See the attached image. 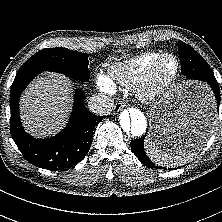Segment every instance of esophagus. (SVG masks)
Returning a JSON list of instances; mask_svg holds the SVG:
<instances>
[{
    "label": "esophagus",
    "mask_w": 222,
    "mask_h": 222,
    "mask_svg": "<svg viewBox=\"0 0 222 222\" xmlns=\"http://www.w3.org/2000/svg\"><path fill=\"white\" fill-rule=\"evenodd\" d=\"M125 107V103L120 101V102H117L114 106V113H117L119 112L121 109H123Z\"/></svg>",
    "instance_id": "obj_1"
}]
</instances>
